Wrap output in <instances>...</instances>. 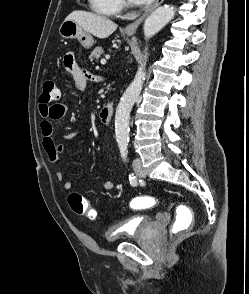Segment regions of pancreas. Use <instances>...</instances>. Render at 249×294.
I'll use <instances>...</instances> for the list:
<instances>
[{"label":"pancreas","mask_w":249,"mask_h":294,"mask_svg":"<svg viewBox=\"0 0 249 294\" xmlns=\"http://www.w3.org/2000/svg\"><path fill=\"white\" fill-rule=\"evenodd\" d=\"M103 52L104 50L101 47H96L89 56L90 61H93L94 59L98 60Z\"/></svg>","instance_id":"obj_1"}]
</instances>
